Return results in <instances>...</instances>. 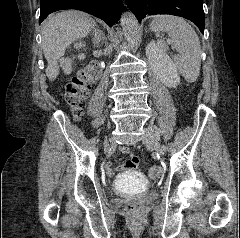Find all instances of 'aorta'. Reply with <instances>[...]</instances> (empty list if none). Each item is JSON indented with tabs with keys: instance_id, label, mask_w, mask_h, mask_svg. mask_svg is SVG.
I'll return each mask as SVG.
<instances>
[{
	"instance_id": "aorta-1",
	"label": "aorta",
	"mask_w": 240,
	"mask_h": 238,
	"mask_svg": "<svg viewBox=\"0 0 240 238\" xmlns=\"http://www.w3.org/2000/svg\"><path fill=\"white\" fill-rule=\"evenodd\" d=\"M120 22L128 43L136 44L139 39V25L134 14L131 12L123 13Z\"/></svg>"
}]
</instances>
